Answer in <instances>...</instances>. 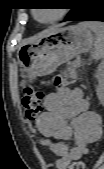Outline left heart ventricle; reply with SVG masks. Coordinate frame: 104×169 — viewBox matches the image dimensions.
I'll list each match as a JSON object with an SVG mask.
<instances>
[{
	"label": "left heart ventricle",
	"mask_w": 104,
	"mask_h": 169,
	"mask_svg": "<svg viewBox=\"0 0 104 169\" xmlns=\"http://www.w3.org/2000/svg\"><path fill=\"white\" fill-rule=\"evenodd\" d=\"M57 14L55 9H38L36 11V16L38 19L47 21L52 19Z\"/></svg>",
	"instance_id": "1"
}]
</instances>
